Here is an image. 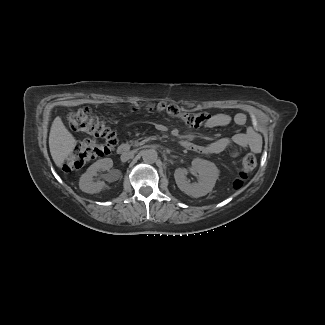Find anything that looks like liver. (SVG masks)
<instances>
[{
  "mask_svg": "<svg viewBox=\"0 0 325 325\" xmlns=\"http://www.w3.org/2000/svg\"><path fill=\"white\" fill-rule=\"evenodd\" d=\"M76 144L75 137L67 130L61 118L56 117L50 130L49 148L52 159L59 168L72 153Z\"/></svg>",
  "mask_w": 325,
  "mask_h": 325,
  "instance_id": "liver-1",
  "label": "liver"
}]
</instances>
